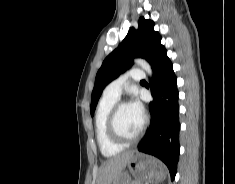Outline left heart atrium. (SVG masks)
<instances>
[{
	"label": "left heart atrium",
	"mask_w": 235,
	"mask_h": 184,
	"mask_svg": "<svg viewBox=\"0 0 235 184\" xmlns=\"http://www.w3.org/2000/svg\"><path fill=\"white\" fill-rule=\"evenodd\" d=\"M129 107L132 109V111L134 113H136L139 116H143L144 114V109L143 106L141 104V102L137 99L134 98L130 103H129Z\"/></svg>",
	"instance_id": "1"
}]
</instances>
